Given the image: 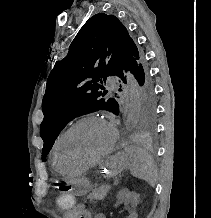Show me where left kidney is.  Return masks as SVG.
Returning a JSON list of instances; mask_svg holds the SVG:
<instances>
[{
	"mask_svg": "<svg viewBox=\"0 0 211 218\" xmlns=\"http://www.w3.org/2000/svg\"><path fill=\"white\" fill-rule=\"evenodd\" d=\"M133 193V192H130ZM135 204L138 203H132V198H120L119 205H117V210H122V207H126V210H124V215H129L128 218H137L136 215H138L137 207H135Z\"/></svg>",
	"mask_w": 211,
	"mask_h": 218,
	"instance_id": "obj_1",
	"label": "left kidney"
}]
</instances>
